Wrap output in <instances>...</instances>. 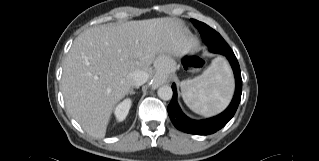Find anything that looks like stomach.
<instances>
[{
    "label": "stomach",
    "instance_id": "obj_1",
    "mask_svg": "<svg viewBox=\"0 0 319 161\" xmlns=\"http://www.w3.org/2000/svg\"><path fill=\"white\" fill-rule=\"evenodd\" d=\"M155 68L161 77L167 78L176 71L177 64L170 54L162 53L155 59Z\"/></svg>",
    "mask_w": 319,
    "mask_h": 161
}]
</instances>
